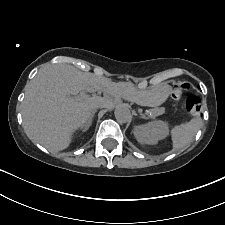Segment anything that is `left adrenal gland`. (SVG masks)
Returning a JSON list of instances; mask_svg holds the SVG:
<instances>
[{
    "mask_svg": "<svg viewBox=\"0 0 225 225\" xmlns=\"http://www.w3.org/2000/svg\"><path fill=\"white\" fill-rule=\"evenodd\" d=\"M140 117L143 118V119H149L148 117H146V116H145L144 114H142V113L140 114Z\"/></svg>",
    "mask_w": 225,
    "mask_h": 225,
    "instance_id": "1",
    "label": "left adrenal gland"
}]
</instances>
